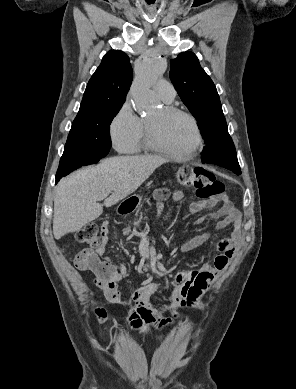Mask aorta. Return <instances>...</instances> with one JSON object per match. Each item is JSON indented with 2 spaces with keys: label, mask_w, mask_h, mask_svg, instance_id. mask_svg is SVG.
I'll return each instance as SVG.
<instances>
[{
  "label": "aorta",
  "mask_w": 296,
  "mask_h": 389,
  "mask_svg": "<svg viewBox=\"0 0 296 389\" xmlns=\"http://www.w3.org/2000/svg\"><path fill=\"white\" fill-rule=\"evenodd\" d=\"M167 69V61L158 53L149 54L136 69L131 97L137 110H147L155 104L151 88Z\"/></svg>",
  "instance_id": "1"
}]
</instances>
